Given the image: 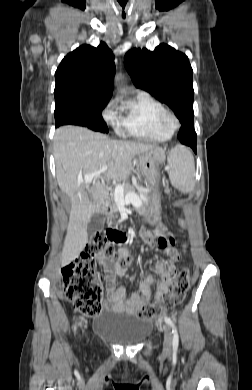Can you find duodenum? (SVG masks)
Instances as JSON below:
<instances>
[{
    "instance_id": "duodenum-1",
    "label": "duodenum",
    "mask_w": 252,
    "mask_h": 390,
    "mask_svg": "<svg viewBox=\"0 0 252 390\" xmlns=\"http://www.w3.org/2000/svg\"><path fill=\"white\" fill-rule=\"evenodd\" d=\"M106 214L109 216V218L111 219V222L112 223H114L113 222V219H114V211H113V209L110 207V206H108L107 207V210H106ZM118 231V242L120 243V242H123L125 239H126V236H125V233L123 232V231H119V230H117Z\"/></svg>"
}]
</instances>
